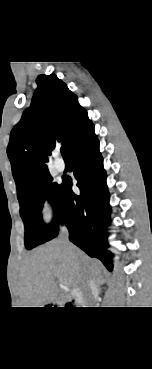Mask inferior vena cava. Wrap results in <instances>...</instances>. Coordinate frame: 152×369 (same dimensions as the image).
Listing matches in <instances>:
<instances>
[{
  "instance_id": "obj_1",
  "label": "inferior vena cava",
  "mask_w": 152,
  "mask_h": 369,
  "mask_svg": "<svg viewBox=\"0 0 152 369\" xmlns=\"http://www.w3.org/2000/svg\"><path fill=\"white\" fill-rule=\"evenodd\" d=\"M68 237H69L68 230L66 227H63L60 232L59 239L66 245L67 249L70 252H72V245L69 243ZM81 292H82L83 300L87 301L88 304L92 305L94 296L98 294V288L96 285L95 278L88 277L83 283ZM89 307H92V306H89Z\"/></svg>"
}]
</instances>
